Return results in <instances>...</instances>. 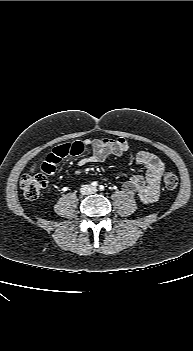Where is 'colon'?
Segmentation results:
<instances>
[{
    "label": "colon",
    "mask_w": 193,
    "mask_h": 351,
    "mask_svg": "<svg viewBox=\"0 0 193 351\" xmlns=\"http://www.w3.org/2000/svg\"><path fill=\"white\" fill-rule=\"evenodd\" d=\"M163 184L167 189H175L178 185L177 175L172 171H166L163 175ZM46 185L47 178L44 174L24 175L20 181L23 195L29 201L38 199Z\"/></svg>",
    "instance_id": "obj_1"
}]
</instances>
